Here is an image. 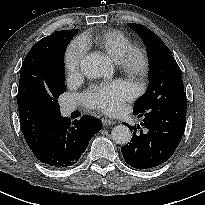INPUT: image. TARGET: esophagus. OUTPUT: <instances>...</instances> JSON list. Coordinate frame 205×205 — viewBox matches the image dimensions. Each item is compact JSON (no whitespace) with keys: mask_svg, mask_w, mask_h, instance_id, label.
<instances>
[{"mask_svg":"<svg viewBox=\"0 0 205 205\" xmlns=\"http://www.w3.org/2000/svg\"><path fill=\"white\" fill-rule=\"evenodd\" d=\"M102 125L103 126H109V125H113L115 122L109 118H102L101 119Z\"/></svg>","mask_w":205,"mask_h":205,"instance_id":"1","label":"esophagus"}]
</instances>
